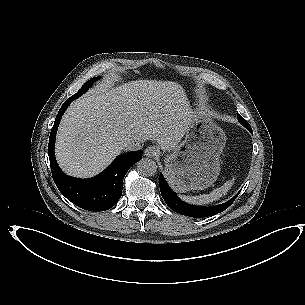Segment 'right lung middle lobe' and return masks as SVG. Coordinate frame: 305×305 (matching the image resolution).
I'll list each match as a JSON object with an SVG mask.
<instances>
[{
    "label": "right lung middle lobe",
    "mask_w": 305,
    "mask_h": 305,
    "mask_svg": "<svg viewBox=\"0 0 305 305\" xmlns=\"http://www.w3.org/2000/svg\"><path fill=\"white\" fill-rule=\"evenodd\" d=\"M98 79H99V77H95V78H92L89 81H87L76 94L71 96V98L76 99V98L80 97L82 94H84L91 87L93 82L97 81Z\"/></svg>",
    "instance_id": "1"
}]
</instances>
